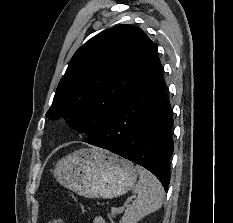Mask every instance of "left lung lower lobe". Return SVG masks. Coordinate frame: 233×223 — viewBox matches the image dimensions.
Masks as SVG:
<instances>
[{"label":"left lung lower lobe","instance_id":"1","mask_svg":"<svg viewBox=\"0 0 233 223\" xmlns=\"http://www.w3.org/2000/svg\"><path fill=\"white\" fill-rule=\"evenodd\" d=\"M162 65L155 60L137 89L87 143L107 149L152 172L167 190L174 145L173 118L164 94Z\"/></svg>","mask_w":233,"mask_h":223}]
</instances>
